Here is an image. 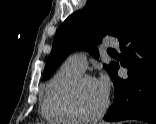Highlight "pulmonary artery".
I'll use <instances>...</instances> for the list:
<instances>
[{"instance_id":"e3ab8cb5","label":"pulmonary artery","mask_w":156,"mask_h":124,"mask_svg":"<svg viewBox=\"0 0 156 124\" xmlns=\"http://www.w3.org/2000/svg\"><path fill=\"white\" fill-rule=\"evenodd\" d=\"M104 45L107 47H117L119 42L116 38H106ZM65 64L69 67H72L80 72H83L87 67V53L86 52H77L71 54L65 61Z\"/></svg>"}]
</instances>
